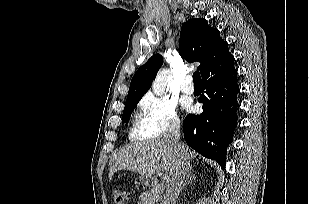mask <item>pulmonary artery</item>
I'll use <instances>...</instances> for the list:
<instances>
[{
	"mask_svg": "<svg viewBox=\"0 0 309 204\" xmlns=\"http://www.w3.org/2000/svg\"><path fill=\"white\" fill-rule=\"evenodd\" d=\"M181 91L185 94H192L194 92V86L191 81V77L187 76L181 83Z\"/></svg>",
	"mask_w": 309,
	"mask_h": 204,
	"instance_id": "e3ab8cb5",
	"label": "pulmonary artery"
}]
</instances>
